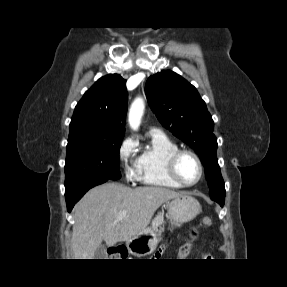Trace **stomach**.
<instances>
[{
	"label": "stomach",
	"mask_w": 287,
	"mask_h": 287,
	"mask_svg": "<svg viewBox=\"0 0 287 287\" xmlns=\"http://www.w3.org/2000/svg\"><path fill=\"white\" fill-rule=\"evenodd\" d=\"M201 211L200 203L193 197L181 195L168 203V219L171 227H180L193 220ZM161 240V232L146 228L126 241L132 255L145 256L151 254Z\"/></svg>",
	"instance_id": "1"
}]
</instances>
